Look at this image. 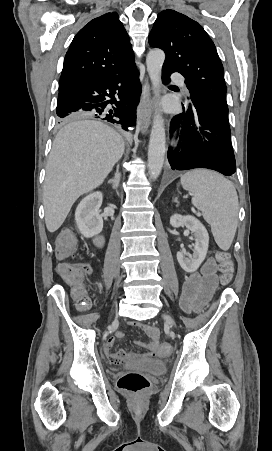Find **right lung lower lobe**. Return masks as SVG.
Instances as JSON below:
<instances>
[{
  "mask_svg": "<svg viewBox=\"0 0 272 451\" xmlns=\"http://www.w3.org/2000/svg\"><path fill=\"white\" fill-rule=\"evenodd\" d=\"M139 98L138 71L135 62H132L109 77L59 90L57 121L63 123L96 118L129 131L136 122ZM108 104H114L116 108L106 114L105 108Z\"/></svg>",
  "mask_w": 272,
  "mask_h": 451,
  "instance_id": "98d812e1",
  "label": "right lung lower lobe"
}]
</instances>
